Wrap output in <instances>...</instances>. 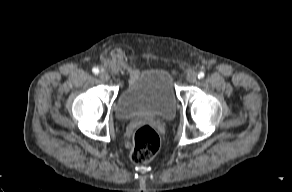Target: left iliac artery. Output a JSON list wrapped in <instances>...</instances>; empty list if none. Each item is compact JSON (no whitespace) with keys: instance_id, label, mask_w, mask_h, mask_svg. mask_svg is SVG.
<instances>
[{"instance_id":"1","label":"left iliac artery","mask_w":292,"mask_h":192,"mask_svg":"<svg viewBox=\"0 0 292 192\" xmlns=\"http://www.w3.org/2000/svg\"><path fill=\"white\" fill-rule=\"evenodd\" d=\"M203 77H204V72H199V73H198V78L201 79V78H203Z\"/></svg>"}]
</instances>
